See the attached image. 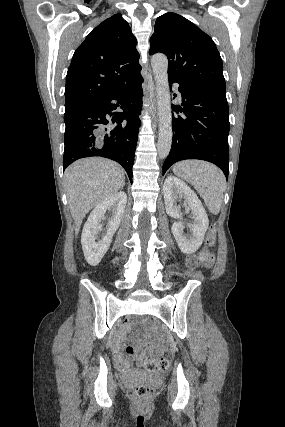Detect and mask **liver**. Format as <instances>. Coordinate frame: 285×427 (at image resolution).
I'll list each match as a JSON object with an SVG mask.
<instances>
[{"label": "liver", "mask_w": 285, "mask_h": 427, "mask_svg": "<svg viewBox=\"0 0 285 427\" xmlns=\"http://www.w3.org/2000/svg\"><path fill=\"white\" fill-rule=\"evenodd\" d=\"M124 181L123 168L106 158L80 159L65 170L64 185L76 234L86 214L116 194Z\"/></svg>", "instance_id": "liver-1"}]
</instances>
